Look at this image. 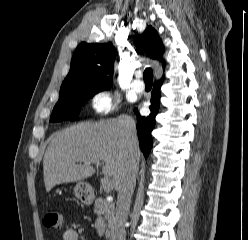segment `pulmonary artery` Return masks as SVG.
<instances>
[{
    "mask_svg": "<svg viewBox=\"0 0 248 240\" xmlns=\"http://www.w3.org/2000/svg\"><path fill=\"white\" fill-rule=\"evenodd\" d=\"M132 89L136 92H142L144 90V83L141 80V74L137 73L134 81L132 82Z\"/></svg>",
    "mask_w": 248,
    "mask_h": 240,
    "instance_id": "1",
    "label": "pulmonary artery"
}]
</instances>
